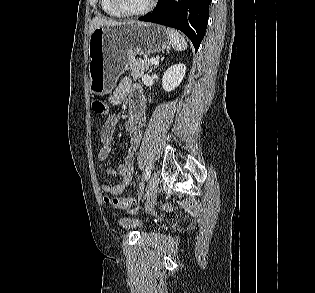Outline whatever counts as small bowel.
I'll return each instance as SVG.
<instances>
[{"instance_id": "small-bowel-1", "label": "small bowel", "mask_w": 315, "mask_h": 293, "mask_svg": "<svg viewBox=\"0 0 315 293\" xmlns=\"http://www.w3.org/2000/svg\"><path fill=\"white\" fill-rule=\"evenodd\" d=\"M125 100L129 101V117L125 123V129L129 133L127 155L123 163L114 170H108L109 174H115L119 181L115 184H102L101 190L111 195L121 194L130 184L134 173V156L137 151L142 136V127L145 124V99L139 86L134 84L131 79L124 78L109 96L112 105H119ZM119 121V116L110 114L104 121L100 131V148L98 159L105 161L111 150L113 135Z\"/></svg>"}]
</instances>
